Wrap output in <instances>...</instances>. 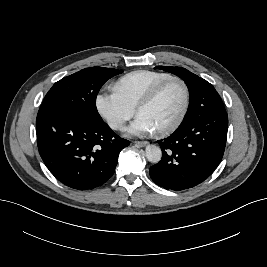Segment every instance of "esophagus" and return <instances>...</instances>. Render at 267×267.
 <instances>
[{"label":"esophagus","instance_id":"esophagus-1","mask_svg":"<svg viewBox=\"0 0 267 267\" xmlns=\"http://www.w3.org/2000/svg\"><path fill=\"white\" fill-rule=\"evenodd\" d=\"M148 144V142H146V141H136L135 142V145L136 146H139V147H144V146H146Z\"/></svg>","mask_w":267,"mask_h":267}]
</instances>
